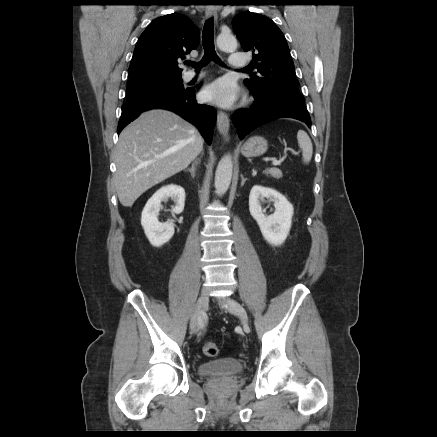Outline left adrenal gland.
Listing matches in <instances>:
<instances>
[{
    "mask_svg": "<svg viewBox=\"0 0 437 437\" xmlns=\"http://www.w3.org/2000/svg\"><path fill=\"white\" fill-rule=\"evenodd\" d=\"M247 179L243 177V175H241V187L245 184V181Z\"/></svg>",
    "mask_w": 437,
    "mask_h": 437,
    "instance_id": "a2214340",
    "label": "left adrenal gland"
}]
</instances>
